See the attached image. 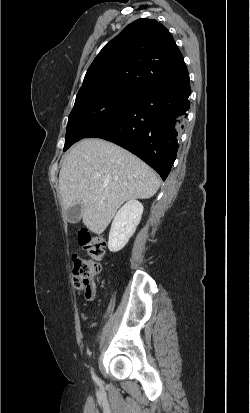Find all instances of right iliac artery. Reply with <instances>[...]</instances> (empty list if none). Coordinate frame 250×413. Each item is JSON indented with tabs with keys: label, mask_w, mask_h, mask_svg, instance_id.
I'll use <instances>...</instances> for the list:
<instances>
[{
	"label": "right iliac artery",
	"mask_w": 250,
	"mask_h": 413,
	"mask_svg": "<svg viewBox=\"0 0 250 413\" xmlns=\"http://www.w3.org/2000/svg\"><path fill=\"white\" fill-rule=\"evenodd\" d=\"M92 378L95 382H99L98 378L94 375L93 371H92Z\"/></svg>",
	"instance_id": "obj_1"
}]
</instances>
